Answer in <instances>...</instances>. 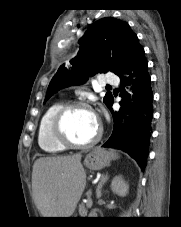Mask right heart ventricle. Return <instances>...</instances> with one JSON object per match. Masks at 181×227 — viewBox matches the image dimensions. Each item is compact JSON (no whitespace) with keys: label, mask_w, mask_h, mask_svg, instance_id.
I'll list each match as a JSON object with an SVG mask.
<instances>
[{"label":"right heart ventricle","mask_w":181,"mask_h":227,"mask_svg":"<svg viewBox=\"0 0 181 227\" xmlns=\"http://www.w3.org/2000/svg\"><path fill=\"white\" fill-rule=\"evenodd\" d=\"M62 105V102L51 104L41 117L38 129V144L46 153L58 154L66 150V147L53 137L51 131L52 119Z\"/></svg>","instance_id":"1"}]
</instances>
